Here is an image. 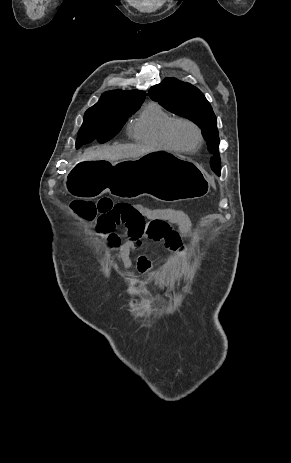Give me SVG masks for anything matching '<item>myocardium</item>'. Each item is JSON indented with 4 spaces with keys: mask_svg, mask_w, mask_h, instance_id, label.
Instances as JSON below:
<instances>
[{
    "mask_svg": "<svg viewBox=\"0 0 291 463\" xmlns=\"http://www.w3.org/2000/svg\"><path fill=\"white\" fill-rule=\"evenodd\" d=\"M180 124H186V125H189L191 126L195 133H196V136H197V142L196 144L193 146V147H184L183 145H181L176 136H175V129L178 125ZM167 138L169 140V142L173 145V147L181 152H184V153H194L195 151H197L203 144V134H202V130L201 128L199 127V125L197 123H195L194 121H192L191 119H188V118H174L171 123L169 124L168 128H167Z\"/></svg>",
    "mask_w": 291,
    "mask_h": 463,
    "instance_id": "myocardium-1",
    "label": "myocardium"
}]
</instances>
